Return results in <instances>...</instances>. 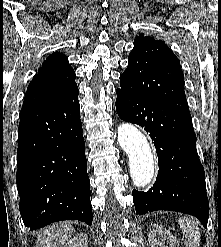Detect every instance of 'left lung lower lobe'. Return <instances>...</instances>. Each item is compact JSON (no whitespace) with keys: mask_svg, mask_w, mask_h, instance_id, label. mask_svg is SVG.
I'll use <instances>...</instances> for the list:
<instances>
[{"mask_svg":"<svg viewBox=\"0 0 221 247\" xmlns=\"http://www.w3.org/2000/svg\"><path fill=\"white\" fill-rule=\"evenodd\" d=\"M119 117L150 133L157 150L159 171L147 192L133 190L139 215L156 210L177 211L197 217L207 227L209 204L204 168L196 151L190 113L138 95L124 75L116 89Z\"/></svg>","mask_w":221,"mask_h":247,"instance_id":"obj_1","label":"left lung lower lobe"}]
</instances>
